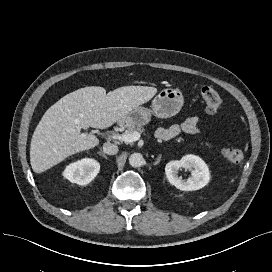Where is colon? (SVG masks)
<instances>
[{
	"instance_id": "obj_1",
	"label": "colon",
	"mask_w": 272,
	"mask_h": 272,
	"mask_svg": "<svg viewBox=\"0 0 272 272\" xmlns=\"http://www.w3.org/2000/svg\"><path fill=\"white\" fill-rule=\"evenodd\" d=\"M201 97L205 104V111L209 115H214L222 110L223 103L219 93L210 86L201 88ZM223 157L231 163H240L244 160V153L239 149L224 148L222 150Z\"/></svg>"
}]
</instances>
